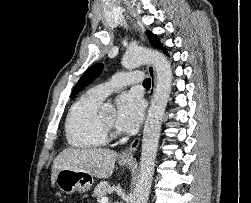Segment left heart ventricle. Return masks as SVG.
<instances>
[{"mask_svg":"<svg viewBox=\"0 0 251 203\" xmlns=\"http://www.w3.org/2000/svg\"><path fill=\"white\" fill-rule=\"evenodd\" d=\"M102 118L107 123H109L111 125H115V122H116V113L114 111H112V112L104 115Z\"/></svg>","mask_w":251,"mask_h":203,"instance_id":"left-heart-ventricle-1","label":"left heart ventricle"}]
</instances>
